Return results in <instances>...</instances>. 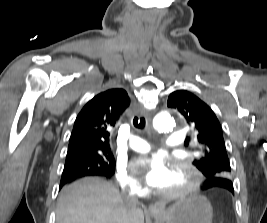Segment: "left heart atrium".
Segmentation results:
<instances>
[{
    "label": "left heart atrium",
    "mask_w": 267,
    "mask_h": 223,
    "mask_svg": "<svg viewBox=\"0 0 267 223\" xmlns=\"http://www.w3.org/2000/svg\"><path fill=\"white\" fill-rule=\"evenodd\" d=\"M136 169L152 188L159 189L170 177L171 171L159 157H143L135 162Z\"/></svg>",
    "instance_id": "left-heart-atrium-1"
}]
</instances>
